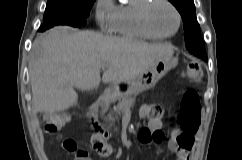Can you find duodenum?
<instances>
[{"mask_svg": "<svg viewBox=\"0 0 242 160\" xmlns=\"http://www.w3.org/2000/svg\"><path fill=\"white\" fill-rule=\"evenodd\" d=\"M115 96V91L112 88L104 90L98 98L92 103L89 111L88 118L91 123L92 130L94 132V138L104 139L108 136L107 129L103 126L99 119V108L108 101L111 97Z\"/></svg>", "mask_w": 242, "mask_h": 160, "instance_id": "410a0bca", "label": "duodenum"}]
</instances>
